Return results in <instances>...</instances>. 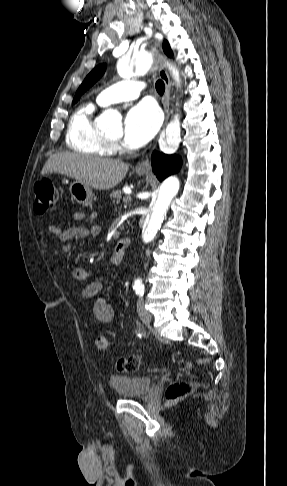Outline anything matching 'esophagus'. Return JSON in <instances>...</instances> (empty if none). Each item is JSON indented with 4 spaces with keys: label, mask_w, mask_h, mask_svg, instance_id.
Instances as JSON below:
<instances>
[{
    "label": "esophagus",
    "mask_w": 287,
    "mask_h": 486,
    "mask_svg": "<svg viewBox=\"0 0 287 486\" xmlns=\"http://www.w3.org/2000/svg\"><path fill=\"white\" fill-rule=\"evenodd\" d=\"M159 76L162 79V81L165 84V94L162 98V103H163V108L165 111V122H164V127L168 122L169 116H170V90H171V83H170V78L165 70V68L161 67L159 69ZM155 146L153 147V149ZM149 157L150 155H147L144 159H142L137 165H136V171L138 172H148L150 171V162H149Z\"/></svg>",
    "instance_id": "obj_1"
}]
</instances>
